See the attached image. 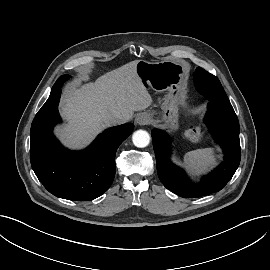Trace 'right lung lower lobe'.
<instances>
[{
    "label": "right lung lower lobe",
    "mask_w": 270,
    "mask_h": 270,
    "mask_svg": "<svg viewBox=\"0 0 270 270\" xmlns=\"http://www.w3.org/2000/svg\"><path fill=\"white\" fill-rule=\"evenodd\" d=\"M61 88L51 94L31 125L30 160L44 187L68 200H93L111 186L115 176V155L119 145L132 133L131 123L101 133L85 150L64 148L53 135L61 121L58 103Z\"/></svg>",
    "instance_id": "1"
}]
</instances>
